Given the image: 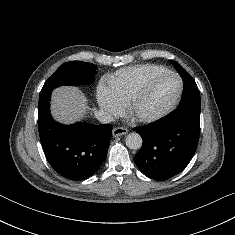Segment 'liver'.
Wrapping results in <instances>:
<instances>
[{
    "mask_svg": "<svg viewBox=\"0 0 235 235\" xmlns=\"http://www.w3.org/2000/svg\"><path fill=\"white\" fill-rule=\"evenodd\" d=\"M86 97L77 87L63 86L52 93L51 113L55 120L72 124L81 120L88 109Z\"/></svg>",
    "mask_w": 235,
    "mask_h": 235,
    "instance_id": "6515ba94",
    "label": "liver"
}]
</instances>
